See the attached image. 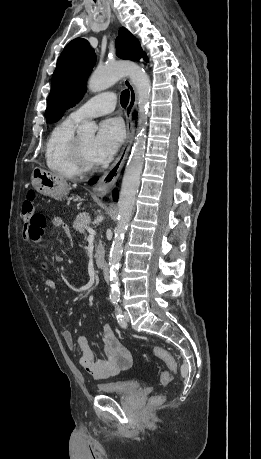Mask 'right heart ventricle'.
<instances>
[{"label":"right heart ventricle","instance_id":"e07e8e85","mask_svg":"<svg viewBox=\"0 0 261 459\" xmlns=\"http://www.w3.org/2000/svg\"><path fill=\"white\" fill-rule=\"evenodd\" d=\"M77 122L78 120L69 116L57 123L50 131L44 149L47 167L68 178H74L80 174L72 156Z\"/></svg>","mask_w":261,"mask_h":459}]
</instances>
